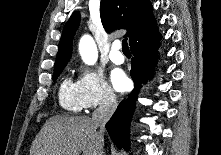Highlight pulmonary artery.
I'll return each mask as SVG.
<instances>
[{"label":"pulmonary artery","instance_id":"pulmonary-artery-1","mask_svg":"<svg viewBox=\"0 0 221 155\" xmlns=\"http://www.w3.org/2000/svg\"><path fill=\"white\" fill-rule=\"evenodd\" d=\"M121 49V43L119 41H115L112 44L109 57L110 60L115 64H122L125 61V57L123 53L120 51Z\"/></svg>","mask_w":221,"mask_h":155}]
</instances>
